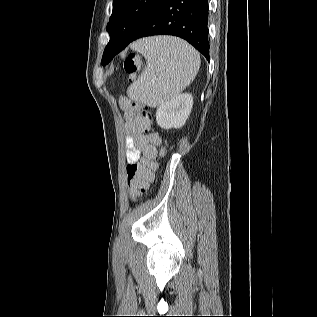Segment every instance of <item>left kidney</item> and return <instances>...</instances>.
<instances>
[{
	"instance_id": "5707ae66",
	"label": "left kidney",
	"mask_w": 317,
	"mask_h": 317,
	"mask_svg": "<svg viewBox=\"0 0 317 317\" xmlns=\"http://www.w3.org/2000/svg\"><path fill=\"white\" fill-rule=\"evenodd\" d=\"M193 106V97L189 93L180 94L159 106L156 122L163 129L181 128L188 119Z\"/></svg>"
}]
</instances>
